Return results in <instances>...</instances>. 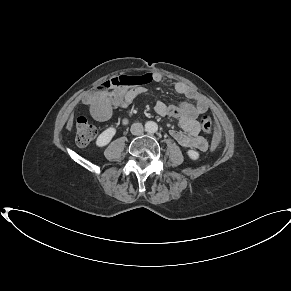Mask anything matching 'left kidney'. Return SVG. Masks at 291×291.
<instances>
[{
  "mask_svg": "<svg viewBox=\"0 0 291 291\" xmlns=\"http://www.w3.org/2000/svg\"><path fill=\"white\" fill-rule=\"evenodd\" d=\"M187 155L192 160H198L199 159V156H200L199 152H197L195 150H188L187 151Z\"/></svg>",
  "mask_w": 291,
  "mask_h": 291,
  "instance_id": "left-kidney-1",
  "label": "left kidney"
}]
</instances>
